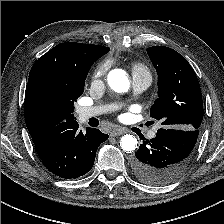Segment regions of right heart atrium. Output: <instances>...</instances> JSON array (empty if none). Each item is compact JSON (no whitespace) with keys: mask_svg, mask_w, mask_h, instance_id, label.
Here are the masks:
<instances>
[{"mask_svg":"<svg viewBox=\"0 0 224 224\" xmlns=\"http://www.w3.org/2000/svg\"><path fill=\"white\" fill-rule=\"evenodd\" d=\"M108 71V65L106 63L99 64L93 71L91 76L92 85H99L105 81Z\"/></svg>","mask_w":224,"mask_h":224,"instance_id":"obj_1","label":"right heart atrium"}]
</instances>
